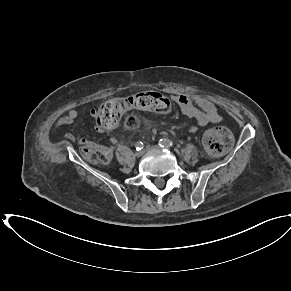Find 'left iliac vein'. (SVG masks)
<instances>
[{"label": "left iliac vein", "instance_id": "1", "mask_svg": "<svg viewBox=\"0 0 291 291\" xmlns=\"http://www.w3.org/2000/svg\"><path fill=\"white\" fill-rule=\"evenodd\" d=\"M161 149H162V147H160V146H149L146 148V151L147 150H161Z\"/></svg>", "mask_w": 291, "mask_h": 291}]
</instances>
